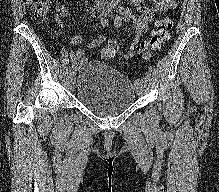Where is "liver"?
<instances>
[{"label": "liver", "mask_w": 219, "mask_h": 192, "mask_svg": "<svg viewBox=\"0 0 219 192\" xmlns=\"http://www.w3.org/2000/svg\"><path fill=\"white\" fill-rule=\"evenodd\" d=\"M30 2V0H27V3H29Z\"/></svg>", "instance_id": "liver-1"}]
</instances>
